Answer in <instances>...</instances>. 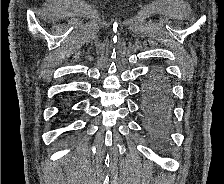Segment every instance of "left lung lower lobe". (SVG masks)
<instances>
[{
  "instance_id": "left-lung-lower-lobe-1",
  "label": "left lung lower lobe",
  "mask_w": 224,
  "mask_h": 184,
  "mask_svg": "<svg viewBox=\"0 0 224 184\" xmlns=\"http://www.w3.org/2000/svg\"><path fill=\"white\" fill-rule=\"evenodd\" d=\"M143 111L146 128L152 135L163 138L171 124V85L165 73L155 70L143 86Z\"/></svg>"
}]
</instances>
